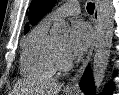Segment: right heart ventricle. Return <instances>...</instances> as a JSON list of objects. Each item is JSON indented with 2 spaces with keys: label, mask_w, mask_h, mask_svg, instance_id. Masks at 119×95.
<instances>
[{
  "label": "right heart ventricle",
  "mask_w": 119,
  "mask_h": 95,
  "mask_svg": "<svg viewBox=\"0 0 119 95\" xmlns=\"http://www.w3.org/2000/svg\"><path fill=\"white\" fill-rule=\"evenodd\" d=\"M51 23L52 19L43 18L28 35L21 54L23 76L46 79L55 74V40L49 34Z\"/></svg>",
  "instance_id": "obj_1"
}]
</instances>
